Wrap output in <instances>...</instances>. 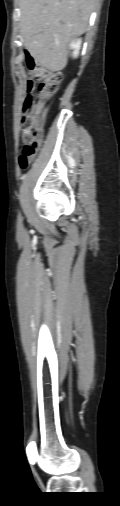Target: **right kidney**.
Here are the masks:
<instances>
[{
    "label": "right kidney",
    "instance_id": "1",
    "mask_svg": "<svg viewBox=\"0 0 120 506\" xmlns=\"http://www.w3.org/2000/svg\"><path fill=\"white\" fill-rule=\"evenodd\" d=\"M80 44H81L80 40H77L76 42L71 44V48L74 49L73 56L75 57L78 55Z\"/></svg>",
    "mask_w": 120,
    "mask_h": 506
}]
</instances>
